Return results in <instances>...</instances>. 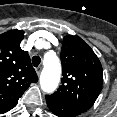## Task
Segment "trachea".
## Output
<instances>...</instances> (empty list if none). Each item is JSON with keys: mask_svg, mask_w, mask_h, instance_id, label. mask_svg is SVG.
Listing matches in <instances>:
<instances>
[{"mask_svg": "<svg viewBox=\"0 0 117 117\" xmlns=\"http://www.w3.org/2000/svg\"><path fill=\"white\" fill-rule=\"evenodd\" d=\"M40 62H41V58L39 56H33L32 64L34 67L39 66Z\"/></svg>", "mask_w": 117, "mask_h": 117, "instance_id": "3493384b", "label": "trachea"}]
</instances>
